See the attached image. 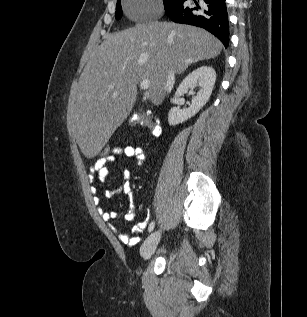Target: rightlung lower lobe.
Here are the masks:
<instances>
[{"label": "right lung lower lobe", "instance_id": "1", "mask_svg": "<svg viewBox=\"0 0 307 317\" xmlns=\"http://www.w3.org/2000/svg\"><path fill=\"white\" fill-rule=\"evenodd\" d=\"M186 0H174L165 9L166 15L176 23L202 27L215 35L225 47L229 44V25L225 0H193L194 6L184 8Z\"/></svg>", "mask_w": 307, "mask_h": 317}]
</instances>
